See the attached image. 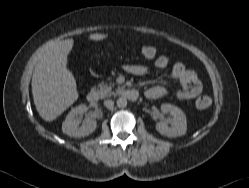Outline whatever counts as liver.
<instances>
[{
    "mask_svg": "<svg viewBox=\"0 0 249 188\" xmlns=\"http://www.w3.org/2000/svg\"><path fill=\"white\" fill-rule=\"evenodd\" d=\"M107 37L100 33L89 35L93 41ZM73 45V39L50 45L35 66L32 94L36 109L45 121L55 120L78 99L76 80L67 69V57Z\"/></svg>",
    "mask_w": 249,
    "mask_h": 188,
    "instance_id": "obj_1",
    "label": "liver"
}]
</instances>
